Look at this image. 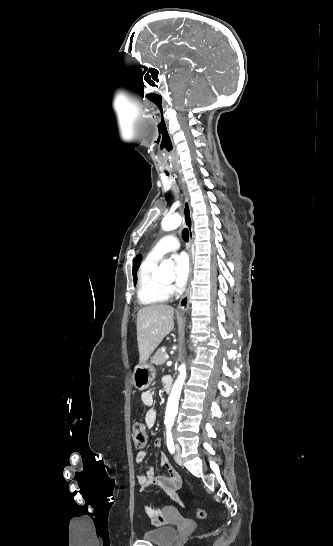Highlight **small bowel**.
<instances>
[{"label": "small bowel", "mask_w": 333, "mask_h": 546, "mask_svg": "<svg viewBox=\"0 0 333 546\" xmlns=\"http://www.w3.org/2000/svg\"><path fill=\"white\" fill-rule=\"evenodd\" d=\"M165 379V378H164ZM163 379V382H164ZM142 403L145 406H148L150 409L147 410L145 414V425L148 428H152L157 419V414L154 409L151 407L154 405V396L151 392H143L141 395ZM162 445V441L160 438H156L154 440V447L160 448ZM146 459V452L145 451H139L137 452L135 456V461L137 463H143ZM160 467L162 469H168L170 476H164V475H157L153 467H149L145 473H141L137 476L138 484L140 485L141 489L144 490L150 486H156L165 492H167L169 495L173 497V499L180 503V499L177 495V491L180 489L182 485L181 476L179 473L171 467V464L166 457L165 454L160 455ZM144 511L149 516L151 522L155 525H160L166 522L167 516L170 513L171 509L168 507L163 508L162 510H155L151 509L149 506L144 505Z\"/></svg>", "instance_id": "1"}]
</instances>
